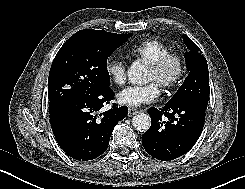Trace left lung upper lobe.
<instances>
[{"instance_id":"left-lung-upper-lobe-1","label":"left lung upper lobe","mask_w":245,"mask_h":189,"mask_svg":"<svg viewBox=\"0 0 245 189\" xmlns=\"http://www.w3.org/2000/svg\"><path fill=\"white\" fill-rule=\"evenodd\" d=\"M183 40L189 49L185 53L189 74L169 103L178 104L186 101H196L207 105L210 89L206 58L201 55L199 47L187 35L183 34Z\"/></svg>"}]
</instances>
